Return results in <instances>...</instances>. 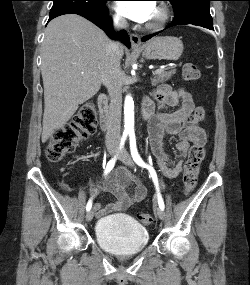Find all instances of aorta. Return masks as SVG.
<instances>
[{"mask_svg":"<svg viewBox=\"0 0 250 285\" xmlns=\"http://www.w3.org/2000/svg\"><path fill=\"white\" fill-rule=\"evenodd\" d=\"M134 133V101L131 95L125 97L124 103V134Z\"/></svg>","mask_w":250,"mask_h":285,"instance_id":"762f6f07","label":"aorta"}]
</instances>
